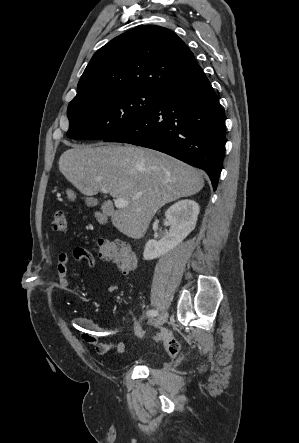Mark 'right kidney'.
Masks as SVG:
<instances>
[{
    "label": "right kidney",
    "instance_id": "obj_1",
    "mask_svg": "<svg viewBox=\"0 0 299 443\" xmlns=\"http://www.w3.org/2000/svg\"><path fill=\"white\" fill-rule=\"evenodd\" d=\"M198 214L199 205L194 200L185 199L170 206L165 212V218L170 225L169 233L159 241H147L143 253L144 260L159 258L178 246L194 230Z\"/></svg>",
    "mask_w": 299,
    "mask_h": 443
}]
</instances>
